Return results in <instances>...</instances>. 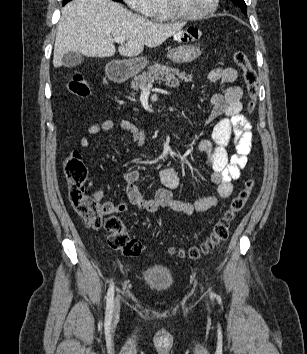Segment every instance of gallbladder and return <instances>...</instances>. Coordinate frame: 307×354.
I'll use <instances>...</instances> for the list:
<instances>
[{
    "instance_id": "gallbladder-1",
    "label": "gallbladder",
    "mask_w": 307,
    "mask_h": 354,
    "mask_svg": "<svg viewBox=\"0 0 307 354\" xmlns=\"http://www.w3.org/2000/svg\"><path fill=\"white\" fill-rule=\"evenodd\" d=\"M81 54L76 52H67L62 58V64L65 67H76L83 62Z\"/></svg>"
}]
</instances>
